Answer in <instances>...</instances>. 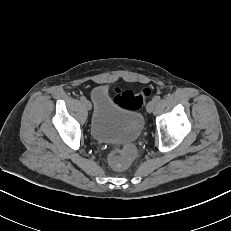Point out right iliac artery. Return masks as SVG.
<instances>
[{
    "mask_svg": "<svg viewBox=\"0 0 231 231\" xmlns=\"http://www.w3.org/2000/svg\"><path fill=\"white\" fill-rule=\"evenodd\" d=\"M80 100L84 102L86 100L85 96H81Z\"/></svg>",
    "mask_w": 231,
    "mask_h": 231,
    "instance_id": "obj_1",
    "label": "right iliac artery"
}]
</instances>
